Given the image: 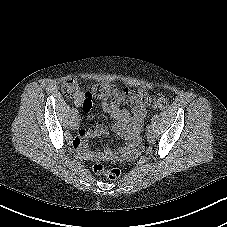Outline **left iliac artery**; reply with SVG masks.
<instances>
[{
  "label": "left iliac artery",
  "instance_id": "obj_1",
  "mask_svg": "<svg viewBox=\"0 0 227 227\" xmlns=\"http://www.w3.org/2000/svg\"><path fill=\"white\" fill-rule=\"evenodd\" d=\"M152 130V126L151 125H148L147 126V131L150 132Z\"/></svg>",
  "mask_w": 227,
  "mask_h": 227
}]
</instances>
